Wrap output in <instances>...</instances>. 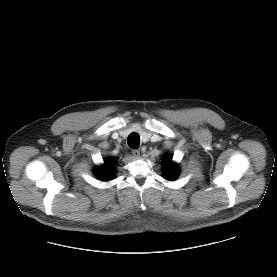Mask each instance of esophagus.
I'll return each mask as SVG.
<instances>
[{
  "label": "esophagus",
  "mask_w": 277,
  "mask_h": 277,
  "mask_svg": "<svg viewBox=\"0 0 277 277\" xmlns=\"http://www.w3.org/2000/svg\"><path fill=\"white\" fill-rule=\"evenodd\" d=\"M132 155H133L134 158H139L140 150L139 149L132 150Z\"/></svg>",
  "instance_id": "34e87169"
}]
</instances>
